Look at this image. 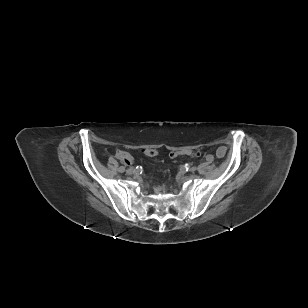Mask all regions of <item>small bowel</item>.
I'll return each instance as SVG.
<instances>
[{"mask_svg":"<svg viewBox=\"0 0 308 308\" xmlns=\"http://www.w3.org/2000/svg\"><path fill=\"white\" fill-rule=\"evenodd\" d=\"M226 153V148L224 147H220L218 150H217V156L218 157H223Z\"/></svg>","mask_w":308,"mask_h":308,"instance_id":"obj_1","label":"small bowel"}]
</instances>
